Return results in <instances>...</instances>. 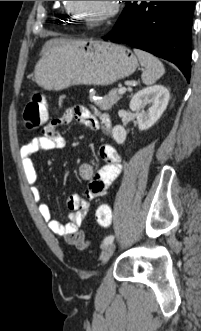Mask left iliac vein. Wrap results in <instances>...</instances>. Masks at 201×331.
Here are the masks:
<instances>
[{"instance_id": "left-iliac-vein-1", "label": "left iliac vein", "mask_w": 201, "mask_h": 331, "mask_svg": "<svg viewBox=\"0 0 201 331\" xmlns=\"http://www.w3.org/2000/svg\"><path fill=\"white\" fill-rule=\"evenodd\" d=\"M114 250H115V245L113 243H110L104 247L101 257H100L103 264L108 262V260L113 255Z\"/></svg>"}]
</instances>
